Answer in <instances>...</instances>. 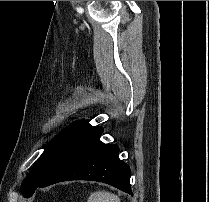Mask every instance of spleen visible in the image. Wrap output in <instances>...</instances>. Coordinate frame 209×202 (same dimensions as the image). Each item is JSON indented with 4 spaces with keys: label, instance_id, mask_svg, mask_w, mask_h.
<instances>
[{
    "label": "spleen",
    "instance_id": "3e777b00",
    "mask_svg": "<svg viewBox=\"0 0 209 202\" xmlns=\"http://www.w3.org/2000/svg\"><path fill=\"white\" fill-rule=\"evenodd\" d=\"M87 202H120V199L117 195L106 192V191H97L92 193Z\"/></svg>",
    "mask_w": 209,
    "mask_h": 202
}]
</instances>
